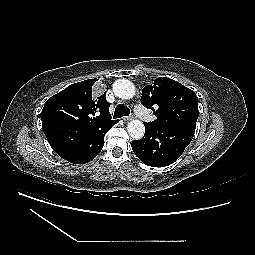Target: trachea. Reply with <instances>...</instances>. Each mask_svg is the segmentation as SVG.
I'll list each match as a JSON object with an SVG mask.
<instances>
[{"label": "trachea", "instance_id": "1", "mask_svg": "<svg viewBox=\"0 0 255 255\" xmlns=\"http://www.w3.org/2000/svg\"><path fill=\"white\" fill-rule=\"evenodd\" d=\"M130 114V109L123 105V104H119L117 105V107L115 108V112H114V116L113 118H121L123 116H129Z\"/></svg>", "mask_w": 255, "mask_h": 255}]
</instances>
